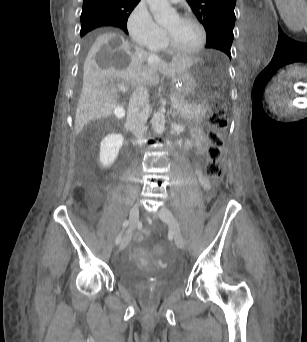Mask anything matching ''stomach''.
<instances>
[{
    "mask_svg": "<svg viewBox=\"0 0 307 342\" xmlns=\"http://www.w3.org/2000/svg\"><path fill=\"white\" fill-rule=\"evenodd\" d=\"M198 70L199 62L196 61L191 67L176 74L172 78L173 93L178 94L186 101L194 100Z\"/></svg>",
    "mask_w": 307,
    "mask_h": 342,
    "instance_id": "0dacf381",
    "label": "stomach"
}]
</instances>
